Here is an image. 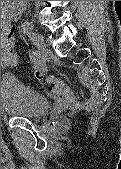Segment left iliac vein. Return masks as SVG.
<instances>
[{"label": "left iliac vein", "mask_w": 121, "mask_h": 169, "mask_svg": "<svg viewBox=\"0 0 121 169\" xmlns=\"http://www.w3.org/2000/svg\"><path fill=\"white\" fill-rule=\"evenodd\" d=\"M31 40L33 44L39 49L42 54H47L48 49L45 44V40L42 34L34 32L31 34Z\"/></svg>", "instance_id": "1"}]
</instances>
